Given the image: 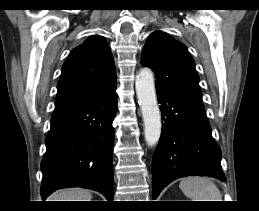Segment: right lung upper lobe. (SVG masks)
Segmentation results:
<instances>
[{"label":"right lung upper lobe","mask_w":259,"mask_h":211,"mask_svg":"<svg viewBox=\"0 0 259 211\" xmlns=\"http://www.w3.org/2000/svg\"><path fill=\"white\" fill-rule=\"evenodd\" d=\"M116 89L111 51L99 35L73 49L63 65L55 110L90 102Z\"/></svg>","instance_id":"obj_1"}]
</instances>
